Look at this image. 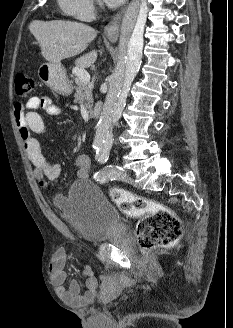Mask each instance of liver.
I'll use <instances>...</instances> for the list:
<instances>
[{
    "label": "liver",
    "mask_w": 233,
    "mask_h": 328,
    "mask_svg": "<svg viewBox=\"0 0 233 328\" xmlns=\"http://www.w3.org/2000/svg\"><path fill=\"white\" fill-rule=\"evenodd\" d=\"M30 31L41 47V55L50 63H60L82 53L97 35L94 28L71 21H35ZM97 59V51L93 50L80 56L75 64L83 69L90 67Z\"/></svg>",
    "instance_id": "obj_1"
}]
</instances>
